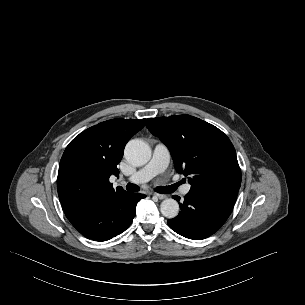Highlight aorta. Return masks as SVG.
I'll return each instance as SVG.
<instances>
[{"label": "aorta", "mask_w": 305, "mask_h": 305, "mask_svg": "<svg viewBox=\"0 0 305 305\" xmlns=\"http://www.w3.org/2000/svg\"><path fill=\"white\" fill-rule=\"evenodd\" d=\"M124 155L132 165L142 166L149 161L151 151L147 143L139 139H134L127 143ZM160 211L166 218H175L179 213V204L176 200L167 198L162 201Z\"/></svg>", "instance_id": "762f6f07"}]
</instances>
